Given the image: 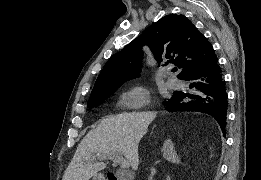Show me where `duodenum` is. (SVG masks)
Segmentation results:
<instances>
[{"mask_svg": "<svg viewBox=\"0 0 261 180\" xmlns=\"http://www.w3.org/2000/svg\"><path fill=\"white\" fill-rule=\"evenodd\" d=\"M105 180H120V177L118 173H109Z\"/></svg>", "mask_w": 261, "mask_h": 180, "instance_id": "obj_1", "label": "duodenum"}]
</instances>
